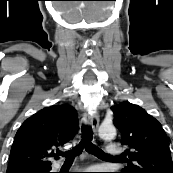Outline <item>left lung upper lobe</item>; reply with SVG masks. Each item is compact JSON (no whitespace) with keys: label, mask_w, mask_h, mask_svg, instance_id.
I'll return each mask as SVG.
<instances>
[{"label":"left lung upper lobe","mask_w":173,"mask_h":173,"mask_svg":"<svg viewBox=\"0 0 173 173\" xmlns=\"http://www.w3.org/2000/svg\"><path fill=\"white\" fill-rule=\"evenodd\" d=\"M113 123L129 148L128 165L120 173H173L169 142L161 124L128 101L113 106Z\"/></svg>","instance_id":"obj_1"}]
</instances>
